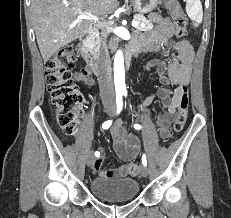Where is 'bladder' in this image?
Returning a JSON list of instances; mask_svg holds the SVG:
<instances>
[{"mask_svg": "<svg viewBox=\"0 0 231 218\" xmlns=\"http://www.w3.org/2000/svg\"><path fill=\"white\" fill-rule=\"evenodd\" d=\"M94 196L106 202H126L134 199L139 190L138 182L130 177L98 176L91 180Z\"/></svg>", "mask_w": 231, "mask_h": 218, "instance_id": "bladder-1", "label": "bladder"}]
</instances>
